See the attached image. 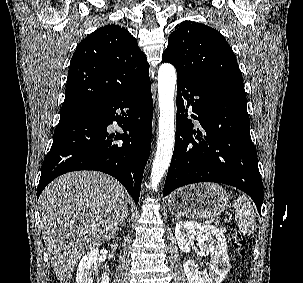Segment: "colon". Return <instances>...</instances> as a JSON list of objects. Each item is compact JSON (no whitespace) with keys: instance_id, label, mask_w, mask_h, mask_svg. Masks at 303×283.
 <instances>
[{"instance_id":"1","label":"colon","mask_w":303,"mask_h":283,"mask_svg":"<svg viewBox=\"0 0 303 283\" xmlns=\"http://www.w3.org/2000/svg\"><path fill=\"white\" fill-rule=\"evenodd\" d=\"M234 247L240 255H244L246 252L245 239L239 235L234 236Z\"/></svg>"}]
</instances>
